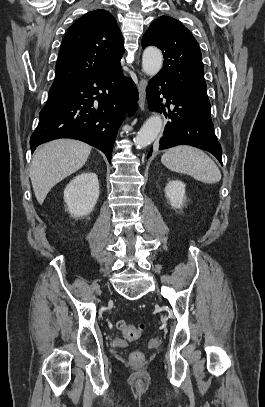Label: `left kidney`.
<instances>
[{"label": "left kidney", "mask_w": 265, "mask_h": 407, "mask_svg": "<svg viewBox=\"0 0 265 407\" xmlns=\"http://www.w3.org/2000/svg\"><path fill=\"white\" fill-rule=\"evenodd\" d=\"M165 194L174 208H181L185 201V184L182 181H170L165 188Z\"/></svg>", "instance_id": "left-kidney-1"}]
</instances>
